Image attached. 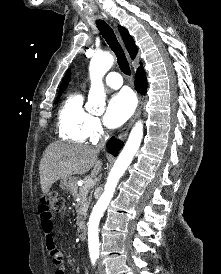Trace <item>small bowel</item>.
Returning <instances> with one entry per match:
<instances>
[{
	"mask_svg": "<svg viewBox=\"0 0 221 274\" xmlns=\"http://www.w3.org/2000/svg\"><path fill=\"white\" fill-rule=\"evenodd\" d=\"M38 214L41 229L45 238L46 248L51 256L53 263L57 266L55 274H66L63 254L57 248L53 234V214L49 207L43 203L38 206Z\"/></svg>",
	"mask_w": 221,
	"mask_h": 274,
	"instance_id": "1",
	"label": "small bowel"
}]
</instances>
